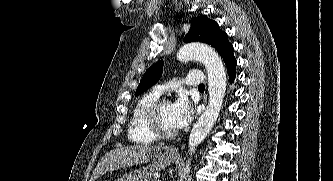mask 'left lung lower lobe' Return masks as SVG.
I'll return each instance as SVG.
<instances>
[{
	"instance_id": "0a47b994",
	"label": "left lung lower lobe",
	"mask_w": 333,
	"mask_h": 181,
	"mask_svg": "<svg viewBox=\"0 0 333 181\" xmlns=\"http://www.w3.org/2000/svg\"><path fill=\"white\" fill-rule=\"evenodd\" d=\"M223 60L227 66V71L229 74V80L232 82L235 79V67H236V59L233 54V47L230 48L227 53L223 56Z\"/></svg>"
}]
</instances>
